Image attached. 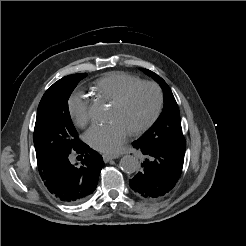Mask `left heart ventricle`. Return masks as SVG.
Returning a JSON list of instances; mask_svg holds the SVG:
<instances>
[{
  "label": "left heart ventricle",
  "mask_w": 246,
  "mask_h": 246,
  "mask_svg": "<svg viewBox=\"0 0 246 246\" xmlns=\"http://www.w3.org/2000/svg\"><path fill=\"white\" fill-rule=\"evenodd\" d=\"M157 105L156 91L149 86L138 88L122 106L112 105L109 118L120 120L129 131L145 124Z\"/></svg>",
  "instance_id": "1"
}]
</instances>
